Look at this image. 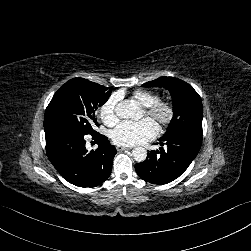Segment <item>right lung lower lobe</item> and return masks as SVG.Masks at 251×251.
<instances>
[{"label":"right lung lower lobe","instance_id":"obj_1","mask_svg":"<svg viewBox=\"0 0 251 251\" xmlns=\"http://www.w3.org/2000/svg\"><path fill=\"white\" fill-rule=\"evenodd\" d=\"M44 130L48 158L68 182L84 188L94 187L110 176L117 151L106 136L92 133L98 148L88 152L86 134L63 126H49Z\"/></svg>","mask_w":251,"mask_h":251}]
</instances>
